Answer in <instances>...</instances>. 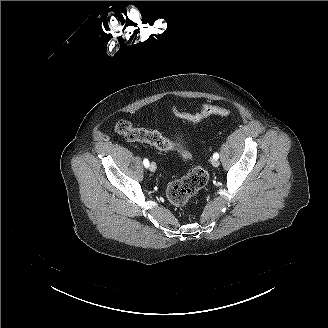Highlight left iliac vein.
Instances as JSON below:
<instances>
[{"label": "left iliac vein", "instance_id": "left-iliac-vein-1", "mask_svg": "<svg viewBox=\"0 0 328 328\" xmlns=\"http://www.w3.org/2000/svg\"><path fill=\"white\" fill-rule=\"evenodd\" d=\"M211 163H212V165L214 166V167H218L219 166V161L217 160V159H212V161H211Z\"/></svg>", "mask_w": 328, "mask_h": 328}]
</instances>
